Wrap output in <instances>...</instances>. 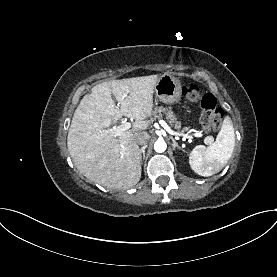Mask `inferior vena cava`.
<instances>
[{
  "instance_id": "602c4592",
  "label": "inferior vena cava",
  "mask_w": 277,
  "mask_h": 277,
  "mask_svg": "<svg viewBox=\"0 0 277 277\" xmlns=\"http://www.w3.org/2000/svg\"><path fill=\"white\" fill-rule=\"evenodd\" d=\"M149 134L147 132H138L134 134V139L137 144L146 146L147 142L149 141Z\"/></svg>"
}]
</instances>
